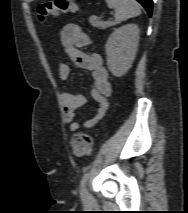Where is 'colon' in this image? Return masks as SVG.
I'll return each mask as SVG.
<instances>
[{
    "mask_svg": "<svg viewBox=\"0 0 188 213\" xmlns=\"http://www.w3.org/2000/svg\"><path fill=\"white\" fill-rule=\"evenodd\" d=\"M79 6L73 0H43L37 7V15L41 20L62 12H79ZM92 145V138L87 133H77L71 140L72 152L77 157L89 153Z\"/></svg>",
    "mask_w": 188,
    "mask_h": 213,
    "instance_id": "5ec220e1",
    "label": "colon"
}]
</instances>
